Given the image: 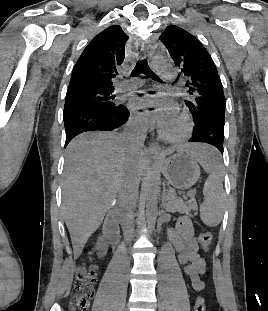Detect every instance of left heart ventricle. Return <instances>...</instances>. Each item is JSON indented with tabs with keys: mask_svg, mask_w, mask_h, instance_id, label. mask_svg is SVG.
Segmentation results:
<instances>
[{
	"mask_svg": "<svg viewBox=\"0 0 268 311\" xmlns=\"http://www.w3.org/2000/svg\"><path fill=\"white\" fill-rule=\"evenodd\" d=\"M162 127L167 133L176 135L179 134L182 130V122L176 115L169 122L163 124Z\"/></svg>",
	"mask_w": 268,
	"mask_h": 311,
	"instance_id": "left-heart-ventricle-1",
	"label": "left heart ventricle"
}]
</instances>
